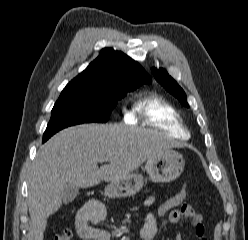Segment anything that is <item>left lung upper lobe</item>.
Wrapping results in <instances>:
<instances>
[{"label": "left lung upper lobe", "mask_w": 248, "mask_h": 240, "mask_svg": "<svg viewBox=\"0 0 248 240\" xmlns=\"http://www.w3.org/2000/svg\"><path fill=\"white\" fill-rule=\"evenodd\" d=\"M152 73L155 79L172 95L177 97L181 104L189 107L187 103V97L183 89L177 84V82L166 72L164 69H152Z\"/></svg>", "instance_id": "5c2ea615"}]
</instances>
